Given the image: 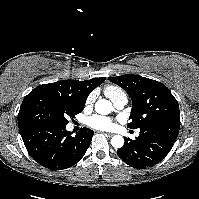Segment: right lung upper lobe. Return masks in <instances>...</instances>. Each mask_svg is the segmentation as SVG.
Returning a JSON list of instances; mask_svg holds the SVG:
<instances>
[{"label": "right lung upper lobe", "mask_w": 199, "mask_h": 199, "mask_svg": "<svg viewBox=\"0 0 199 199\" xmlns=\"http://www.w3.org/2000/svg\"><path fill=\"white\" fill-rule=\"evenodd\" d=\"M106 78H94L85 81L66 80L44 84L33 89L23 101L34 99L38 102L48 100L53 96H60L73 103H85L88 95Z\"/></svg>", "instance_id": "obj_1"}]
</instances>
